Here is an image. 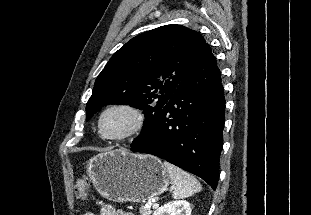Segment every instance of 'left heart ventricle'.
Masks as SVG:
<instances>
[{"label": "left heart ventricle", "instance_id": "left-heart-ventricle-1", "mask_svg": "<svg viewBox=\"0 0 311 215\" xmlns=\"http://www.w3.org/2000/svg\"><path fill=\"white\" fill-rule=\"evenodd\" d=\"M133 121L134 118L130 112L116 109L104 116L102 128L108 135H117L127 131L133 124Z\"/></svg>", "mask_w": 311, "mask_h": 215}]
</instances>
